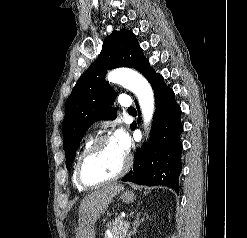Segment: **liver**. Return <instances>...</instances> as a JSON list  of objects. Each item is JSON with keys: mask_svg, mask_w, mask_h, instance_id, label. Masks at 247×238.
<instances>
[{"mask_svg": "<svg viewBox=\"0 0 247 238\" xmlns=\"http://www.w3.org/2000/svg\"><path fill=\"white\" fill-rule=\"evenodd\" d=\"M124 190V186L113 183L87 195L79 207L80 229L76 238H94L95 223L108 208L113 198Z\"/></svg>", "mask_w": 247, "mask_h": 238, "instance_id": "6515ba94", "label": "liver"}]
</instances>
